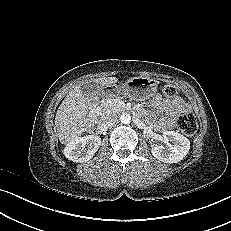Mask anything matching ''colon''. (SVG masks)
Instances as JSON below:
<instances>
[{"label":"colon","instance_id":"5ec220e1","mask_svg":"<svg viewBox=\"0 0 231 231\" xmlns=\"http://www.w3.org/2000/svg\"><path fill=\"white\" fill-rule=\"evenodd\" d=\"M163 93L166 97H174L177 95V88L174 85H165L163 88ZM176 126L188 136L194 135L198 128L196 118L191 112L180 115L177 118Z\"/></svg>","mask_w":231,"mask_h":231}]
</instances>
